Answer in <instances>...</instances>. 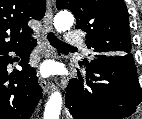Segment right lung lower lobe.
<instances>
[{"instance_id":"98d812e1","label":"right lung lower lobe","mask_w":142,"mask_h":119,"mask_svg":"<svg viewBox=\"0 0 142 119\" xmlns=\"http://www.w3.org/2000/svg\"><path fill=\"white\" fill-rule=\"evenodd\" d=\"M34 46L35 40L0 52V119H29L41 98L36 71L28 64L30 51ZM10 52L21 56L20 66L23 70L17 71L8 84L7 65L13 61Z\"/></svg>"}]
</instances>
